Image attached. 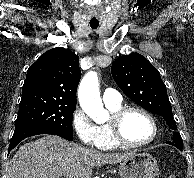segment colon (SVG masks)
I'll return each mask as SVG.
<instances>
[{
    "instance_id": "5ec220e1",
    "label": "colon",
    "mask_w": 194,
    "mask_h": 178,
    "mask_svg": "<svg viewBox=\"0 0 194 178\" xmlns=\"http://www.w3.org/2000/svg\"><path fill=\"white\" fill-rule=\"evenodd\" d=\"M168 178H180V177L176 174H170Z\"/></svg>"
}]
</instances>
